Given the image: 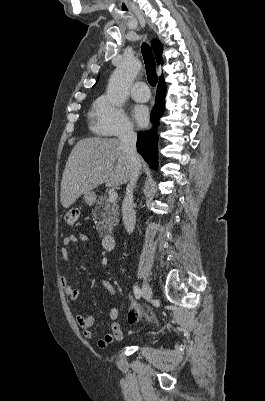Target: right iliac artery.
I'll use <instances>...</instances> for the list:
<instances>
[{"label":"right iliac artery","mask_w":265,"mask_h":401,"mask_svg":"<svg viewBox=\"0 0 265 401\" xmlns=\"http://www.w3.org/2000/svg\"><path fill=\"white\" fill-rule=\"evenodd\" d=\"M133 291H134L136 299H140V297L142 295L141 289L137 285H134L133 286Z\"/></svg>","instance_id":"right-iliac-artery-1"}]
</instances>
